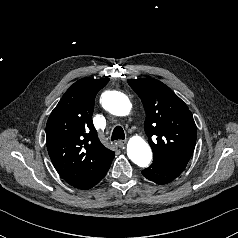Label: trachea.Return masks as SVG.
I'll return each mask as SVG.
<instances>
[{
	"mask_svg": "<svg viewBox=\"0 0 238 238\" xmlns=\"http://www.w3.org/2000/svg\"><path fill=\"white\" fill-rule=\"evenodd\" d=\"M125 139V133L121 126H116L112 132L111 140Z\"/></svg>",
	"mask_w": 238,
	"mask_h": 238,
	"instance_id": "1",
	"label": "trachea"
}]
</instances>
